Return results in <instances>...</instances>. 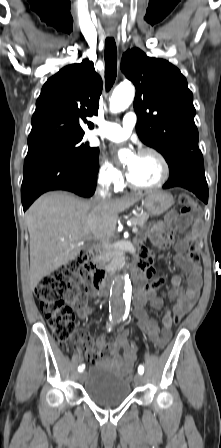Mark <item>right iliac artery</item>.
<instances>
[{
	"instance_id": "82829eb1",
	"label": "right iliac artery",
	"mask_w": 221,
	"mask_h": 448,
	"mask_svg": "<svg viewBox=\"0 0 221 448\" xmlns=\"http://www.w3.org/2000/svg\"><path fill=\"white\" fill-rule=\"evenodd\" d=\"M84 368H85L84 365H80V366L78 367V371H79V372H82V371L84 370Z\"/></svg>"
}]
</instances>
